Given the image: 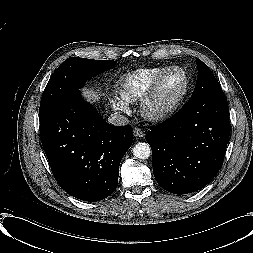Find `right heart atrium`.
<instances>
[{
	"instance_id": "obj_1",
	"label": "right heart atrium",
	"mask_w": 253,
	"mask_h": 253,
	"mask_svg": "<svg viewBox=\"0 0 253 253\" xmlns=\"http://www.w3.org/2000/svg\"><path fill=\"white\" fill-rule=\"evenodd\" d=\"M112 107L120 113H128L129 112V104L121 99H115L111 101Z\"/></svg>"
}]
</instances>
